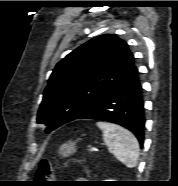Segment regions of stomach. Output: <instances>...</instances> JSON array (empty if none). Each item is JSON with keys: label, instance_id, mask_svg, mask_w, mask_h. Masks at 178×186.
Instances as JSON below:
<instances>
[{"label": "stomach", "instance_id": "0dacf381", "mask_svg": "<svg viewBox=\"0 0 178 186\" xmlns=\"http://www.w3.org/2000/svg\"><path fill=\"white\" fill-rule=\"evenodd\" d=\"M75 151H76V145L71 141L64 143L59 148V154L63 157H68L71 154H73Z\"/></svg>", "mask_w": 178, "mask_h": 186}]
</instances>
